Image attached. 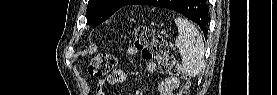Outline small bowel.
<instances>
[{
	"label": "small bowel",
	"mask_w": 277,
	"mask_h": 95,
	"mask_svg": "<svg viewBox=\"0 0 277 95\" xmlns=\"http://www.w3.org/2000/svg\"><path fill=\"white\" fill-rule=\"evenodd\" d=\"M126 55L129 57L139 56L138 51L133 47L129 46L126 48ZM142 58L145 61L146 69L154 74L157 70L156 62L150 59H147L144 55ZM126 80V73L124 70H117L115 73L108 75L105 79L99 80L96 84V94L105 95V86L106 84L115 85ZM177 85V78L175 76H167L164 78V82L159 85V94L160 95H174V89Z\"/></svg>",
	"instance_id": "1"
}]
</instances>
